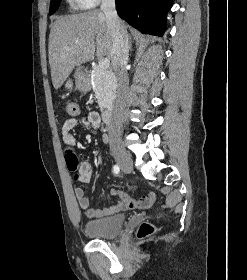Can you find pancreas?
<instances>
[{
	"label": "pancreas",
	"instance_id": "obj_1",
	"mask_svg": "<svg viewBox=\"0 0 247 280\" xmlns=\"http://www.w3.org/2000/svg\"><path fill=\"white\" fill-rule=\"evenodd\" d=\"M93 90L99 107L103 110L111 103L115 95V78L111 71L94 67L92 73Z\"/></svg>",
	"mask_w": 247,
	"mask_h": 280
}]
</instances>
